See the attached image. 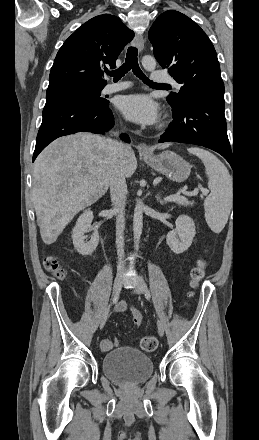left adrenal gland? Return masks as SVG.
I'll return each instance as SVG.
<instances>
[{
	"mask_svg": "<svg viewBox=\"0 0 259 440\" xmlns=\"http://www.w3.org/2000/svg\"><path fill=\"white\" fill-rule=\"evenodd\" d=\"M156 200L161 204L164 205L166 203V200L161 198V194L156 195Z\"/></svg>",
	"mask_w": 259,
	"mask_h": 440,
	"instance_id": "left-adrenal-gland-1",
	"label": "left adrenal gland"
}]
</instances>
